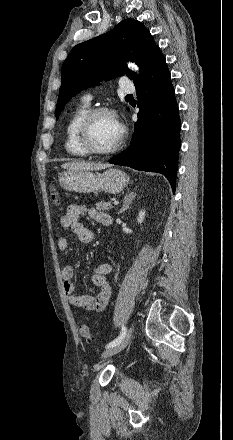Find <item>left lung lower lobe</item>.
Here are the masks:
<instances>
[{"label": "left lung lower lobe", "instance_id": "1", "mask_svg": "<svg viewBox=\"0 0 233 440\" xmlns=\"http://www.w3.org/2000/svg\"><path fill=\"white\" fill-rule=\"evenodd\" d=\"M134 84L140 110L132 141L109 163L162 173L175 191L181 123L170 73L161 52Z\"/></svg>", "mask_w": 233, "mask_h": 440}]
</instances>
